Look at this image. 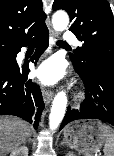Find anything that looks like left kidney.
Returning a JSON list of instances; mask_svg holds the SVG:
<instances>
[{"mask_svg": "<svg viewBox=\"0 0 114 156\" xmlns=\"http://www.w3.org/2000/svg\"><path fill=\"white\" fill-rule=\"evenodd\" d=\"M66 156H75L73 153H68Z\"/></svg>", "mask_w": 114, "mask_h": 156, "instance_id": "obj_1", "label": "left kidney"}]
</instances>
